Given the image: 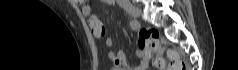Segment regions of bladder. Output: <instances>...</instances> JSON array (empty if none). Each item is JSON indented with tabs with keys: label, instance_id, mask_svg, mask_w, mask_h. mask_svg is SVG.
Returning a JSON list of instances; mask_svg holds the SVG:
<instances>
[{
	"label": "bladder",
	"instance_id": "obj_1",
	"mask_svg": "<svg viewBox=\"0 0 238 70\" xmlns=\"http://www.w3.org/2000/svg\"><path fill=\"white\" fill-rule=\"evenodd\" d=\"M112 70H118V69H116V68H112Z\"/></svg>",
	"mask_w": 238,
	"mask_h": 70
}]
</instances>
